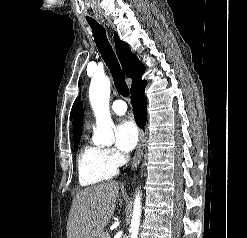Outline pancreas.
I'll return each mask as SVG.
<instances>
[{
	"label": "pancreas",
	"mask_w": 247,
	"mask_h": 238,
	"mask_svg": "<svg viewBox=\"0 0 247 238\" xmlns=\"http://www.w3.org/2000/svg\"><path fill=\"white\" fill-rule=\"evenodd\" d=\"M100 238H111L110 234L108 232H103L100 236Z\"/></svg>",
	"instance_id": "obj_1"
}]
</instances>
